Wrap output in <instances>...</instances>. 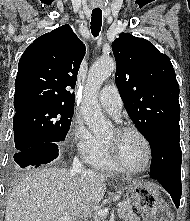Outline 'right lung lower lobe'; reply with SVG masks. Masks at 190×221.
I'll return each instance as SVG.
<instances>
[{
  "instance_id": "98d812e1",
  "label": "right lung lower lobe",
  "mask_w": 190,
  "mask_h": 221,
  "mask_svg": "<svg viewBox=\"0 0 190 221\" xmlns=\"http://www.w3.org/2000/svg\"><path fill=\"white\" fill-rule=\"evenodd\" d=\"M58 143L44 142L14 155L15 162L22 168L38 167L58 157Z\"/></svg>"
}]
</instances>
